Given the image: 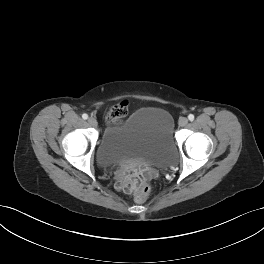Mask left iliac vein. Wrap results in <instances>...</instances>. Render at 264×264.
I'll use <instances>...</instances> for the list:
<instances>
[{
  "instance_id": "left-iliac-vein-1",
  "label": "left iliac vein",
  "mask_w": 264,
  "mask_h": 264,
  "mask_svg": "<svg viewBox=\"0 0 264 264\" xmlns=\"http://www.w3.org/2000/svg\"><path fill=\"white\" fill-rule=\"evenodd\" d=\"M178 123L181 127H184L188 124V119L186 117H181L179 119Z\"/></svg>"
}]
</instances>
